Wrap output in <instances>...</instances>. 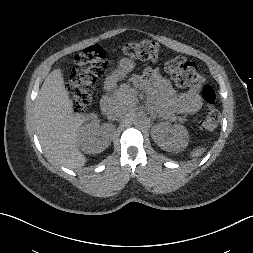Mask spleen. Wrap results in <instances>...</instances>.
Returning <instances> with one entry per match:
<instances>
[{"label": "spleen", "mask_w": 253, "mask_h": 253, "mask_svg": "<svg viewBox=\"0 0 253 253\" xmlns=\"http://www.w3.org/2000/svg\"><path fill=\"white\" fill-rule=\"evenodd\" d=\"M203 150L202 149H197L191 152V156L192 157H197L200 156L202 154Z\"/></svg>", "instance_id": "1"}]
</instances>
